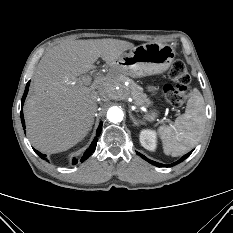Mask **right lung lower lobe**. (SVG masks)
Here are the masks:
<instances>
[{
	"label": "right lung lower lobe",
	"instance_id": "right-lung-lower-lobe-1",
	"mask_svg": "<svg viewBox=\"0 0 233 233\" xmlns=\"http://www.w3.org/2000/svg\"><path fill=\"white\" fill-rule=\"evenodd\" d=\"M29 84H30V81L27 83L26 85V88H25V92H24V95L22 97V106L24 104V101H25V98H26V95L28 93V88H29ZM21 121H22V125H23V128L25 129V122H24V117H23V112L21 111ZM101 129H102V123H100L98 129H97V137H99V134L101 132ZM97 137H95V139L93 140L92 144L90 145V147L85 151L84 155L82 156L81 158V162H83L84 160H86L95 150L96 148V144H97ZM35 152L43 159L45 160L46 159V155L44 154H41L39 151L35 150ZM77 163V159H73V164H76Z\"/></svg>",
	"mask_w": 233,
	"mask_h": 233
}]
</instances>
